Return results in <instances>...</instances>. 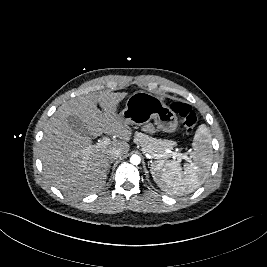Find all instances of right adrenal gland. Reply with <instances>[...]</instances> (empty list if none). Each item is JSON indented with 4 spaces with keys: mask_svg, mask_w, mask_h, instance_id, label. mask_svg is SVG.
I'll list each match as a JSON object with an SVG mask.
<instances>
[{
    "mask_svg": "<svg viewBox=\"0 0 267 267\" xmlns=\"http://www.w3.org/2000/svg\"><path fill=\"white\" fill-rule=\"evenodd\" d=\"M113 162H114V160L110 161V163H109V166H108L107 173H109V172H110L111 164H112Z\"/></svg>",
    "mask_w": 267,
    "mask_h": 267,
    "instance_id": "obj_1",
    "label": "right adrenal gland"
}]
</instances>
